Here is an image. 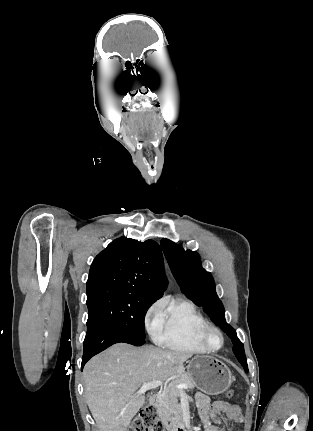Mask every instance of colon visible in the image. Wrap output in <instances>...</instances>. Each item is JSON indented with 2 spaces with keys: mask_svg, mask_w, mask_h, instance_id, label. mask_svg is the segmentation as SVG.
<instances>
[{
  "mask_svg": "<svg viewBox=\"0 0 313 431\" xmlns=\"http://www.w3.org/2000/svg\"><path fill=\"white\" fill-rule=\"evenodd\" d=\"M227 398L234 396V391L229 389L225 392ZM128 431H165L162 421L157 415L156 409L151 406L143 407L133 418Z\"/></svg>",
  "mask_w": 313,
  "mask_h": 431,
  "instance_id": "1",
  "label": "colon"
}]
</instances>
